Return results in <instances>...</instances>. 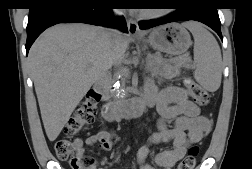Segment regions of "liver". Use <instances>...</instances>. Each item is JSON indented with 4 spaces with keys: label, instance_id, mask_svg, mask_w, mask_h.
I'll return each mask as SVG.
<instances>
[{
    "label": "liver",
    "instance_id": "6515ba94",
    "mask_svg": "<svg viewBox=\"0 0 252 169\" xmlns=\"http://www.w3.org/2000/svg\"><path fill=\"white\" fill-rule=\"evenodd\" d=\"M114 46L102 27L72 23L45 30L28 59L46 135L56 140L91 86L106 75L129 47Z\"/></svg>",
    "mask_w": 252,
    "mask_h": 169
}]
</instances>
